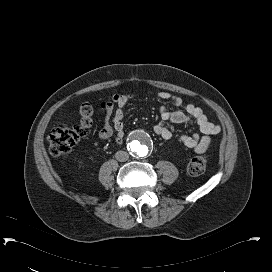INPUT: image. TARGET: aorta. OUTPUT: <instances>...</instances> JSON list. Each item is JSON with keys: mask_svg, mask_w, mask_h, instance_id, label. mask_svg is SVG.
Segmentation results:
<instances>
[{"mask_svg": "<svg viewBox=\"0 0 272 272\" xmlns=\"http://www.w3.org/2000/svg\"><path fill=\"white\" fill-rule=\"evenodd\" d=\"M152 139L144 130H137L132 133L128 150L136 158H145L151 151Z\"/></svg>", "mask_w": 272, "mask_h": 272, "instance_id": "1", "label": "aorta"}]
</instances>
